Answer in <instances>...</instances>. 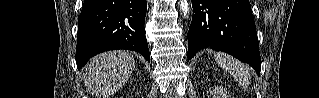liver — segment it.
<instances>
[{
    "label": "liver",
    "instance_id": "6515ba94",
    "mask_svg": "<svg viewBox=\"0 0 319 98\" xmlns=\"http://www.w3.org/2000/svg\"><path fill=\"white\" fill-rule=\"evenodd\" d=\"M134 66L133 55L126 51H109L95 56L83 74L87 91L96 98H110L128 81Z\"/></svg>",
    "mask_w": 319,
    "mask_h": 98
}]
</instances>
